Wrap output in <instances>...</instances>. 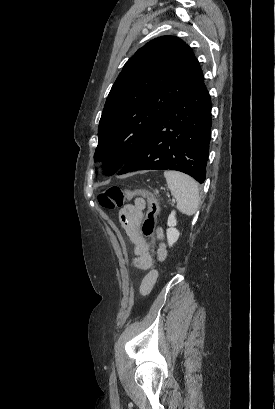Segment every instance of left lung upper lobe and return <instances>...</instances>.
I'll use <instances>...</instances> for the list:
<instances>
[{
    "label": "left lung upper lobe",
    "mask_w": 275,
    "mask_h": 409,
    "mask_svg": "<svg viewBox=\"0 0 275 409\" xmlns=\"http://www.w3.org/2000/svg\"><path fill=\"white\" fill-rule=\"evenodd\" d=\"M204 81L191 48L161 36L140 48L124 65L106 100L95 160L107 175L118 172L159 118Z\"/></svg>",
    "instance_id": "obj_1"
}]
</instances>
